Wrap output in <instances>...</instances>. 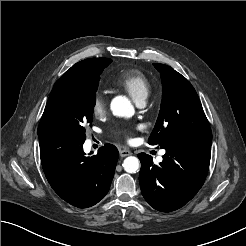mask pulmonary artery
Here are the masks:
<instances>
[{
    "mask_svg": "<svg viewBox=\"0 0 246 246\" xmlns=\"http://www.w3.org/2000/svg\"><path fill=\"white\" fill-rule=\"evenodd\" d=\"M136 103H137V105L139 106V107H143L144 105H145V99H142V100H138V101H136ZM162 155V154H161ZM159 160H161L162 159V157L161 156H159V158H158Z\"/></svg>",
    "mask_w": 246,
    "mask_h": 246,
    "instance_id": "pulmonary-artery-1",
    "label": "pulmonary artery"
}]
</instances>
